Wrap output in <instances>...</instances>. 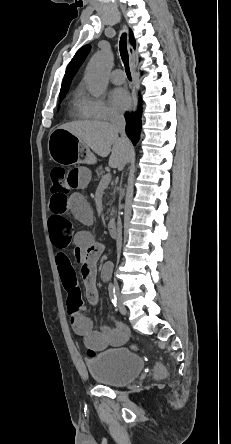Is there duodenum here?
Listing matches in <instances>:
<instances>
[{
	"label": "duodenum",
	"mask_w": 231,
	"mask_h": 444,
	"mask_svg": "<svg viewBox=\"0 0 231 444\" xmlns=\"http://www.w3.org/2000/svg\"><path fill=\"white\" fill-rule=\"evenodd\" d=\"M117 231H118V230H117V221H116V219L109 221L108 224H107V233H108V235H109L110 237L114 238V237L117 236V235H116V232H117ZM103 278L106 279V278H107V275L104 274V277H103Z\"/></svg>",
	"instance_id": "410a0bca"
}]
</instances>
